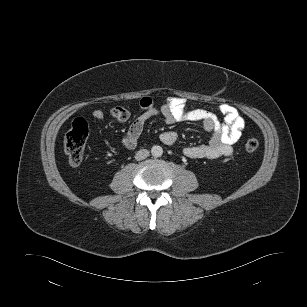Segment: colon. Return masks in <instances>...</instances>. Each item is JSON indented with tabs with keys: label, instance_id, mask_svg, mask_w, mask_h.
<instances>
[{
	"label": "colon",
	"instance_id": "colon-1",
	"mask_svg": "<svg viewBox=\"0 0 307 307\" xmlns=\"http://www.w3.org/2000/svg\"><path fill=\"white\" fill-rule=\"evenodd\" d=\"M87 137V122L81 118L74 120L71 129L68 131L64 138V150L71 164L78 165L82 162ZM258 147L259 142L255 138H249L245 142V150L248 153L255 152Z\"/></svg>",
	"mask_w": 307,
	"mask_h": 307
}]
</instances>
